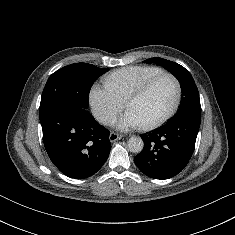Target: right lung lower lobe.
<instances>
[{"label":"right lung lower lobe","mask_w":235,"mask_h":235,"mask_svg":"<svg viewBox=\"0 0 235 235\" xmlns=\"http://www.w3.org/2000/svg\"><path fill=\"white\" fill-rule=\"evenodd\" d=\"M39 118L47 154L66 176L90 177L106 162L111 149L110 131L98 124L86 109L62 103Z\"/></svg>","instance_id":"obj_1"}]
</instances>
